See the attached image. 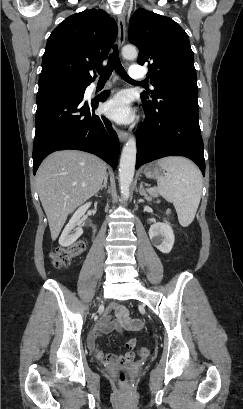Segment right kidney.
<instances>
[{"label": "right kidney", "mask_w": 243, "mask_h": 409, "mask_svg": "<svg viewBox=\"0 0 243 409\" xmlns=\"http://www.w3.org/2000/svg\"><path fill=\"white\" fill-rule=\"evenodd\" d=\"M91 206V203L88 202L83 206L79 207L76 212L73 214L68 224L65 226L60 238L59 244L63 247H68L73 244L82 234V217Z\"/></svg>", "instance_id": "right-kidney-1"}]
</instances>
